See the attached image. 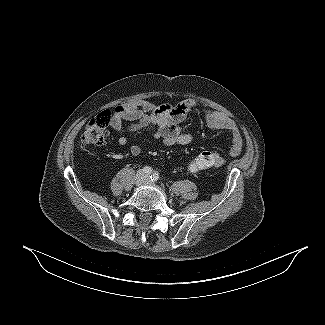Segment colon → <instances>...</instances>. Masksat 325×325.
<instances>
[{
  "instance_id": "5ec220e1",
  "label": "colon",
  "mask_w": 325,
  "mask_h": 325,
  "mask_svg": "<svg viewBox=\"0 0 325 325\" xmlns=\"http://www.w3.org/2000/svg\"><path fill=\"white\" fill-rule=\"evenodd\" d=\"M126 107L118 106L115 108V115H122L126 112ZM113 119L111 111H103L92 118L81 137L83 147L103 144L109 136V125ZM190 169L191 173H197L206 168L216 165L219 162V156L214 151H203L193 160Z\"/></svg>"
}]
</instances>
